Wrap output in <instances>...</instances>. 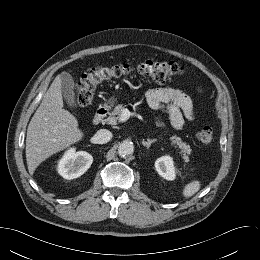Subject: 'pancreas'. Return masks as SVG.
<instances>
[{
	"mask_svg": "<svg viewBox=\"0 0 260 260\" xmlns=\"http://www.w3.org/2000/svg\"><path fill=\"white\" fill-rule=\"evenodd\" d=\"M125 109L123 104H118L115 106L114 110L109 114V117L105 119V122L110 125H116L120 118L122 111ZM171 144L175 146V148L180 149V154L185 163L189 161L188 155L191 154V148L185 142L182 141L180 137L177 135H172L170 138Z\"/></svg>",
	"mask_w": 260,
	"mask_h": 260,
	"instance_id": "pancreas-1",
	"label": "pancreas"
}]
</instances>
